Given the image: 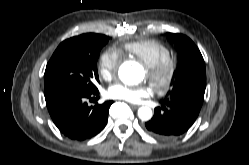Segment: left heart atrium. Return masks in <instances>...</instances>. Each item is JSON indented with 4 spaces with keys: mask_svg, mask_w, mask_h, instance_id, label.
Instances as JSON below:
<instances>
[{
    "mask_svg": "<svg viewBox=\"0 0 249 165\" xmlns=\"http://www.w3.org/2000/svg\"><path fill=\"white\" fill-rule=\"evenodd\" d=\"M151 93L152 87L149 85L129 86L123 83H115L108 89L109 97L130 103H138Z\"/></svg>",
    "mask_w": 249,
    "mask_h": 165,
    "instance_id": "obj_1",
    "label": "left heart atrium"
}]
</instances>
